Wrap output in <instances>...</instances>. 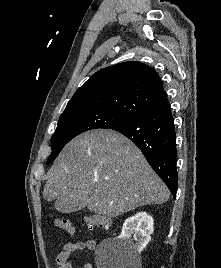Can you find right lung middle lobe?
Returning <instances> with one entry per match:
<instances>
[{
	"mask_svg": "<svg viewBox=\"0 0 221 268\" xmlns=\"http://www.w3.org/2000/svg\"><path fill=\"white\" fill-rule=\"evenodd\" d=\"M124 121L128 119L105 109L63 113L51 138L52 152L46 163L54 160L63 147L80 133L97 128H111Z\"/></svg>",
	"mask_w": 221,
	"mask_h": 268,
	"instance_id": "1",
	"label": "right lung middle lobe"
}]
</instances>
